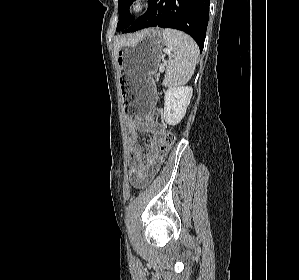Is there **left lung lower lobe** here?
<instances>
[{
  "instance_id": "0a47b994",
  "label": "left lung lower lobe",
  "mask_w": 299,
  "mask_h": 280,
  "mask_svg": "<svg viewBox=\"0 0 299 280\" xmlns=\"http://www.w3.org/2000/svg\"><path fill=\"white\" fill-rule=\"evenodd\" d=\"M150 8L123 33L159 26L188 33L203 50L210 0H149Z\"/></svg>"
}]
</instances>
